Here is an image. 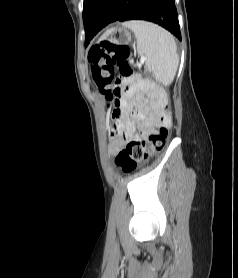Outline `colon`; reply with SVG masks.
Segmentation results:
<instances>
[{"label":"colon","instance_id":"obj_1","mask_svg":"<svg viewBox=\"0 0 238 278\" xmlns=\"http://www.w3.org/2000/svg\"><path fill=\"white\" fill-rule=\"evenodd\" d=\"M129 57L127 46L109 41L91 47L88 52L93 81L110 102L117 101L122 92L121 84L128 82L133 74ZM116 71L119 73L118 78L115 76ZM168 123L169 115L165 111L156 132L151 133L146 140L129 142L116 156L115 162L119 169L129 173L162 150L168 137Z\"/></svg>","mask_w":238,"mask_h":278}]
</instances>
